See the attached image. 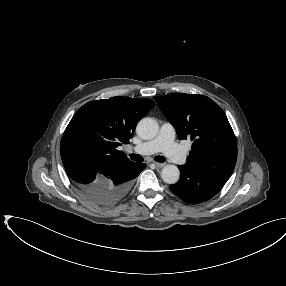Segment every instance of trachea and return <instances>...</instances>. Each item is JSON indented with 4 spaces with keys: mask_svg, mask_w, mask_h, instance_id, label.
<instances>
[{
    "mask_svg": "<svg viewBox=\"0 0 286 286\" xmlns=\"http://www.w3.org/2000/svg\"><path fill=\"white\" fill-rule=\"evenodd\" d=\"M130 158L136 162H142L144 160V158L142 156H140L138 154H134V153L130 154ZM154 160L157 162L163 163V162H165L166 158L164 156H155Z\"/></svg>",
    "mask_w": 286,
    "mask_h": 286,
    "instance_id": "3493384b",
    "label": "trachea"
}]
</instances>
